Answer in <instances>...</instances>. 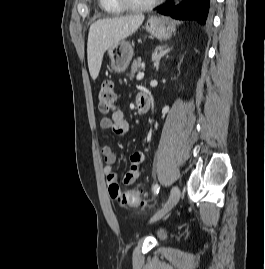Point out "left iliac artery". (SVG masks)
<instances>
[{
    "mask_svg": "<svg viewBox=\"0 0 265 269\" xmlns=\"http://www.w3.org/2000/svg\"><path fill=\"white\" fill-rule=\"evenodd\" d=\"M159 189H160L159 185L158 184H155L153 186V192H154V194H158L159 193Z\"/></svg>",
    "mask_w": 265,
    "mask_h": 269,
    "instance_id": "left-iliac-artery-1",
    "label": "left iliac artery"
}]
</instances>
